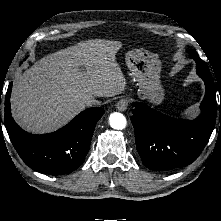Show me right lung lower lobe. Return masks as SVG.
Masks as SVG:
<instances>
[{"label": "right lung lower lobe", "mask_w": 221, "mask_h": 221, "mask_svg": "<svg viewBox=\"0 0 221 221\" xmlns=\"http://www.w3.org/2000/svg\"><path fill=\"white\" fill-rule=\"evenodd\" d=\"M11 88L12 83L5 97L4 121L9 138L21 159L33 170L54 176L77 169L84 162L95 126L104 109L88 108L58 131L34 135L22 130L11 116Z\"/></svg>", "instance_id": "1"}]
</instances>
